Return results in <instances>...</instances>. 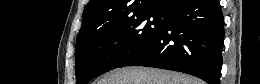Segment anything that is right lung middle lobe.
Listing matches in <instances>:
<instances>
[{"label":"right lung middle lobe","mask_w":260,"mask_h":84,"mask_svg":"<svg viewBox=\"0 0 260 84\" xmlns=\"http://www.w3.org/2000/svg\"><path fill=\"white\" fill-rule=\"evenodd\" d=\"M165 23L166 13L146 12L98 25L76 43L77 84H87L99 74L126 66L151 45Z\"/></svg>","instance_id":"right-lung-middle-lobe-1"}]
</instances>
